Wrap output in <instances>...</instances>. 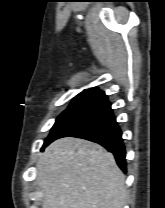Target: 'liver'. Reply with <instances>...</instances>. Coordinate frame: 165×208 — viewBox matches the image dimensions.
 I'll use <instances>...</instances> for the list:
<instances>
[{
    "mask_svg": "<svg viewBox=\"0 0 165 208\" xmlns=\"http://www.w3.org/2000/svg\"><path fill=\"white\" fill-rule=\"evenodd\" d=\"M42 208H124L125 176L112 153L84 139L51 143L37 163Z\"/></svg>",
    "mask_w": 165,
    "mask_h": 208,
    "instance_id": "6515ba94",
    "label": "liver"
}]
</instances>
